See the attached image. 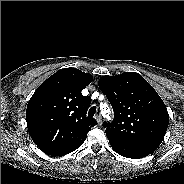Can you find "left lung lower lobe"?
Listing matches in <instances>:
<instances>
[{
    "label": "left lung lower lobe",
    "instance_id": "0a47b994",
    "mask_svg": "<svg viewBox=\"0 0 184 184\" xmlns=\"http://www.w3.org/2000/svg\"><path fill=\"white\" fill-rule=\"evenodd\" d=\"M107 138L109 139L110 145L112 146L113 150L123 157L137 159V158H143L149 155V153L146 151L129 146L125 143L115 140L114 138H111V137H107Z\"/></svg>",
    "mask_w": 184,
    "mask_h": 184
}]
</instances>
